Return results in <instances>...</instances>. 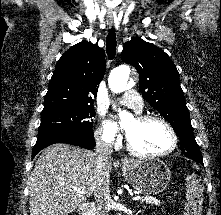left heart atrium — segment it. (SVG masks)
<instances>
[{
  "label": "left heart atrium",
  "mask_w": 221,
  "mask_h": 215,
  "mask_svg": "<svg viewBox=\"0 0 221 215\" xmlns=\"http://www.w3.org/2000/svg\"><path fill=\"white\" fill-rule=\"evenodd\" d=\"M114 128V126H111V129H113Z\"/></svg>",
  "instance_id": "left-heart-atrium-1"
}]
</instances>
